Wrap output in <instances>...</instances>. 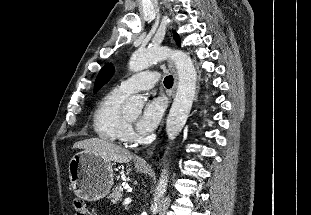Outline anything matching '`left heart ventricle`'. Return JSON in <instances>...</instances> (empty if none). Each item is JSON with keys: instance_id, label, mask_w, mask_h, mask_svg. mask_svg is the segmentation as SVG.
I'll use <instances>...</instances> for the list:
<instances>
[{"instance_id": "b2bd125f", "label": "left heart ventricle", "mask_w": 311, "mask_h": 215, "mask_svg": "<svg viewBox=\"0 0 311 215\" xmlns=\"http://www.w3.org/2000/svg\"><path fill=\"white\" fill-rule=\"evenodd\" d=\"M135 118H136V115H132L128 117L129 120H134Z\"/></svg>"}]
</instances>
